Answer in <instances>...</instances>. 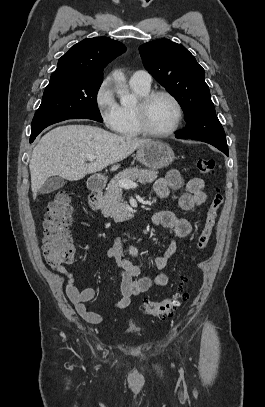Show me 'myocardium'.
I'll use <instances>...</instances> for the list:
<instances>
[{"label":"myocardium","mask_w":265,"mask_h":407,"mask_svg":"<svg viewBox=\"0 0 265 407\" xmlns=\"http://www.w3.org/2000/svg\"><path fill=\"white\" fill-rule=\"evenodd\" d=\"M159 96H165L169 98L175 105L177 111V116L174 124L170 129L164 132H156L151 130L147 123L148 108L152 101ZM134 114L136 126L141 134L152 138H166L174 134L180 127L184 116V110L181 102L173 93L166 90H154L149 91L147 94L141 97L137 105L134 107Z\"/></svg>","instance_id":"f54148a6"}]
</instances>
